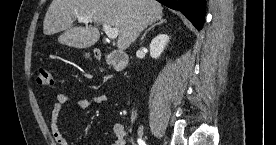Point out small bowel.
<instances>
[{
  "mask_svg": "<svg viewBox=\"0 0 276 145\" xmlns=\"http://www.w3.org/2000/svg\"><path fill=\"white\" fill-rule=\"evenodd\" d=\"M107 97L105 95H93L76 102H72L68 94H58L55 103L51 110V131L54 141L57 145H68L66 137L63 135L60 126L59 118L65 106L72 104L77 109H86L93 104H105ZM114 141L113 145H126V133L122 123H115L113 126Z\"/></svg>",
  "mask_w": 276,
  "mask_h": 145,
  "instance_id": "1",
  "label": "small bowel"
}]
</instances>
